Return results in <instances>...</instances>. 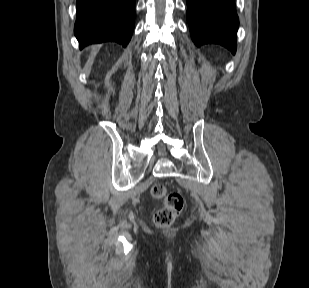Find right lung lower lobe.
Listing matches in <instances>:
<instances>
[{"instance_id": "98d812e1", "label": "right lung lower lobe", "mask_w": 309, "mask_h": 288, "mask_svg": "<svg viewBox=\"0 0 309 288\" xmlns=\"http://www.w3.org/2000/svg\"><path fill=\"white\" fill-rule=\"evenodd\" d=\"M135 0H77L74 33L80 48L114 41L129 43L135 22Z\"/></svg>"}]
</instances>
